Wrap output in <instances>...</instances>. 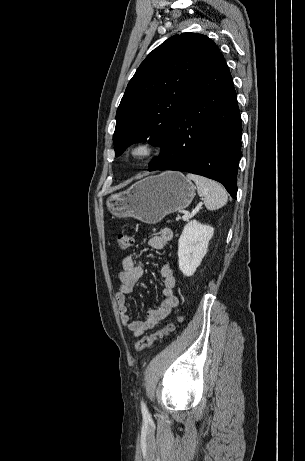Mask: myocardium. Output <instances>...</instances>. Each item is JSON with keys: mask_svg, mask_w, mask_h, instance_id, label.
Listing matches in <instances>:
<instances>
[{"mask_svg": "<svg viewBox=\"0 0 305 461\" xmlns=\"http://www.w3.org/2000/svg\"><path fill=\"white\" fill-rule=\"evenodd\" d=\"M157 149L158 146L154 141L138 140L127 147L126 155L132 161H143L152 157Z\"/></svg>", "mask_w": 305, "mask_h": 461, "instance_id": "f54148a6", "label": "myocardium"}]
</instances>
